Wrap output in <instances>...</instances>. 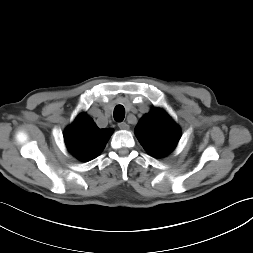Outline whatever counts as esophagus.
Masks as SVG:
<instances>
[{
  "mask_svg": "<svg viewBox=\"0 0 253 253\" xmlns=\"http://www.w3.org/2000/svg\"><path fill=\"white\" fill-rule=\"evenodd\" d=\"M118 127L121 129V130H128L129 129V125L125 122H121L118 124Z\"/></svg>",
  "mask_w": 253,
  "mask_h": 253,
  "instance_id": "obj_1",
  "label": "esophagus"
}]
</instances>
